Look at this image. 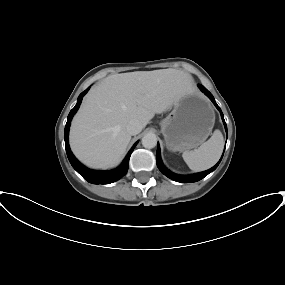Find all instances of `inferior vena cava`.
Instances as JSON below:
<instances>
[{"label":"inferior vena cava","instance_id":"obj_1","mask_svg":"<svg viewBox=\"0 0 285 285\" xmlns=\"http://www.w3.org/2000/svg\"><path fill=\"white\" fill-rule=\"evenodd\" d=\"M126 130L130 135H137L142 130V125L138 120H131L126 125Z\"/></svg>","mask_w":285,"mask_h":285}]
</instances>
